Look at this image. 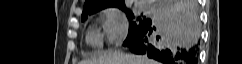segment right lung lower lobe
I'll list each match as a JSON object with an SVG mask.
<instances>
[{
	"mask_svg": "<svg viewBox=\"0 0 242 64\" xmlns=\"http://www.w3.org/2000/svg\"><path fill=\"white\" fill-rule=\"evenodd\" d=\"M156 24L158 34L153 36ZM199 39L196 0H158L154 22L125 46L163 64H197Z\"/></svg>",
	"mask_w": 242,
	"mask_h": 64,
	"instance_id": "98d812e1",
	"label": "right lung lower lobe"
}]
</instances>
